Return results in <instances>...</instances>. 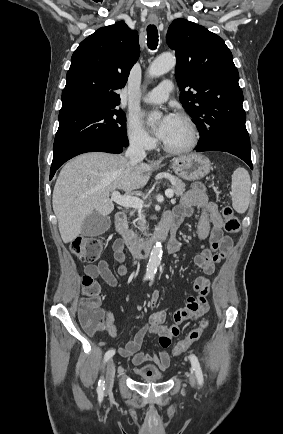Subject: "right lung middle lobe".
<instances>
[{"instance_id":"right-lung-middle-lobe-1","label":"right lung middle lobe","mask_w":283,"mask_h":434,"mask_svg":"<svg viewBox=\"0 0 283 434\" xmlns=\"http://www.w3.org/2000/svg\"><path fill=\"white\" fill-rule=\"evenodd\" d=\"M54 141V155L82 141L107 139L124 147L129 145L126 115L121 109L86 111L59 116Z\"/></svg>"}]
</instances>
